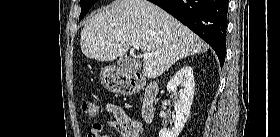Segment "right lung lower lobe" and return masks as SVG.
Wrapping results in <instances>:
<instances>
[{"label": "right lung lower lobe", "instance_id": "98d812e1", "mask_svg": "<svg viewBox=\"0 0 280 137\" xmlns=\"http://www.w3.org/2000/svg\"><path fill=\"white\" fill-rule=\"evenodd\" d=\"M193 32L215 51L221 66L226 56L227 0H149Z\"/></svg>", "mask_w": 280, "mask_h": 137}]
</instances>
